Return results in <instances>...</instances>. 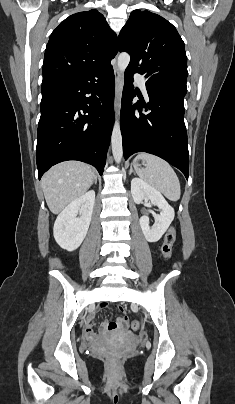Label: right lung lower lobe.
<instances>
[{
	"label": "right lung lower lobe",
	"instance_id": "obj_1",
	"mask_svg": "<svg viewBox=\"0 0 235 404\" xmlns=\"http://www.w3.org/2000/svg\"><path fill=\"white\" fill-rule=\"evenodd\" d=\"M114 92L112 66L42 84L36 149L39 179L52 165L66 160L89 163L103 173L114 123Z\"/></svg>",
	"mask_w": 235,
	"mask_h": 404
}]
</instances>
